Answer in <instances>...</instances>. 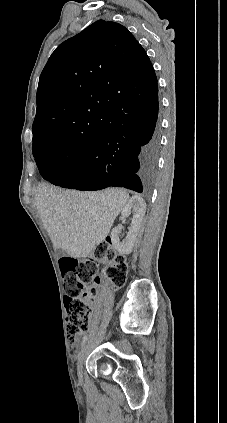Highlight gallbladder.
Here are the masks:
<instances>
[{"mask_svg":"<svg viewBox=\"0 0 227 423\" xmlns=\"http://www.w3.org/2000/svg\"><path fill=\"white\" fill-rule=\"evenodd\" d=\"M57 253H61V255H64V251H62V249H58Z\"/></svg>","mask_w":227,"mask_h":423,"instance_id":"1","label":"gallbladder"}]
</instances>
